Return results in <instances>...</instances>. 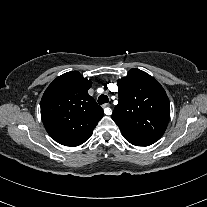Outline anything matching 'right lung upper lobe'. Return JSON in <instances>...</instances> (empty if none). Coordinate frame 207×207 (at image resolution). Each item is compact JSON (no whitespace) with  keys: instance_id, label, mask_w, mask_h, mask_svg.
<instances>
[{"instance_id":"1","label":"right lung upper lobe","mask_w":207,"mask_h":207,"mask_svg":"<svg viewBox=\"0 0 207 207\" xmlns=\"http://www.w3.org/2000/svg\"><path fill=\"white\" fill-rule=\"evenodd\" d=\"M92 82L77 71L57 77L41 100V118L48 134L65 146H78L92 134L103 116L102 108L88 94Z\"/></svg>"}]
</instances>
